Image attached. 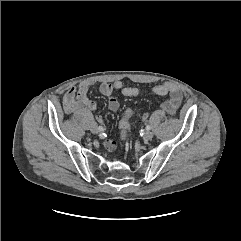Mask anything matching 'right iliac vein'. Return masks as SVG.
I'll return each instance as SVG.
<instances>
[{"mask_svg":"<svg viewBox=\"0 0 241 241\" xmlns=\"http://www.w3.org/2000/svg\"><path fill=\"white\" fill-rule=\"evenodd\" d=\"M91 132L97 134L98 132H100V130L96 125H93L91 127Z\"/></svg>","mask_w":241,"mask_h":241,"instance_id":"right-iliac-vein-1","label":"right iliac vein"}]
</instances>
